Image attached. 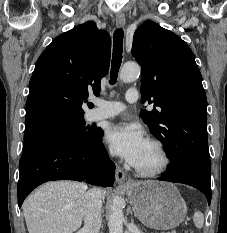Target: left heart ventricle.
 Instances as JSON below:
<instances>
[{
	"label": "left heart ventricle",
	"mask_w": 227,
	"mask_h": 233,
	"mask_svg": "<svg viewBox=\"0 0 227 233\" xmlns=\"http://www.w3.org/2000/svg\"><path fill=\"white\" fill-rule=\"evenodd\" d=\"M161 163V156L158 150L147 143L134 165L143 169H154Z\"/></svg>",
	"instance_id": "left-heart-ventricle-1"
}]
</instances>
